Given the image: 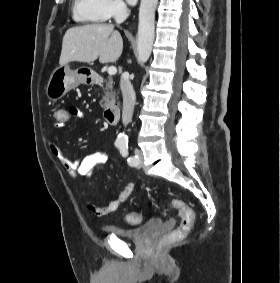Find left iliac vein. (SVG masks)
I'll use <instances>...</instances> for the list:
<instances>
[{"label": "left iliac vein", "instance_id": "left-iliac-vein-1", "mask_svg": "<svg viewBox=\"0 0 280 283\" xmlns=\"http://www.w3.org/2000/svg\"><path fill=\"white\" fill-rule=\"evenodd\" d=\"M135 155L138 156V162L135 166L140 168L142 166V152L140 150L136 149Z\"/></svg>", "mask_w": 280, "mask_h": 283}]
</instances>
